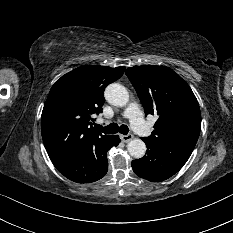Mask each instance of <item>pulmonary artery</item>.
<instances>
[{
    "label": "pulmonary artery",
    "mask_w": 233,
    "mask_h": 233,
    "mask_svg": "<svg viewBox=\"0 0 233 233\" xmlns=\"http://www.w3.org/2000/svg\"><path fill=\"white\" fill-rule=\"evenodd\" d=\"M124 117L130 121L132 128L139 134L146 135L149 131L140 106L137 102H130L124 110Z\"/></svg>",
    "instance_id": "obj_1"
}]
</instances>
